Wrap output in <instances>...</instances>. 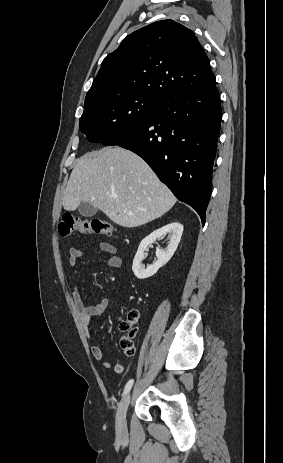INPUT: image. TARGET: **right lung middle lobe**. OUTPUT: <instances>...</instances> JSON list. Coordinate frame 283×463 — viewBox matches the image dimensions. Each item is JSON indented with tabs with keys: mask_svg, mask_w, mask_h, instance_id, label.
Here are the masks:
<instances>
[{
	"mask_svg": "<svg viewBox=\"0 0 283 463\" xmlns=\"http://www.w3.org/2000/svg\"><path fill=\"white\" fill-rule=\"evenodd\" d=\"M158 102L137 94H114L84 104L80 130L91 142H105L146 120Z\"/></svg>",
	"mask_w": 283,
	"mask_h": 463,
	"instance_id": "obj_1",
	"label": "right lung middle lobe"
}]
</instances>
